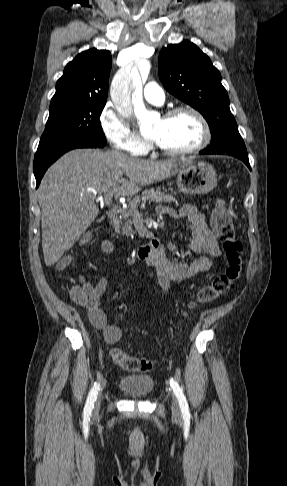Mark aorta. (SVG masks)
<instances>
[{"label":"aorta","mask_w":287,"mask_h":486,"mask_svg":"<svg viewBox=\"0 0 287 486\" xmlns=\"http://www.w3.org/2000/svg\"><path fill=\"white\" fill-rule=\"evenodd\" d=\"M144 76H148L150 63L142 64ZM142 79L136 67L131 72H119L111 84V99L118 112L125 118L136 116L141 128H150L152 116L144 107L141 100Z\"/></svg>","instance_id":"aorta-1"}]
</instances>
